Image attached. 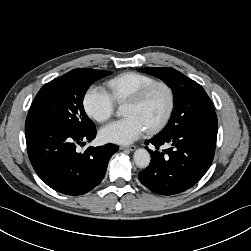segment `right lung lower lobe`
<instances>
[{
    "label": "right lung lower lobe",
    "instance_id": "98d812e1",
    "mask_svg": "<svg viewBox=\"0 0 251 251\" xmlns=\"http://www.w3.org/2000/svg\"><path fill=\"white\" fill-rule=\"evenodd\" d=\"M96 129L78 133L37 119H26L25 135L30 162L37 175L52 189L67 195H81L103 179L109 159L118 146L88 147L84 153L77 144L90 142Z\"/></svg>",
    "mask_w": 251,
    "mask_h": 251
}]
</instances>
